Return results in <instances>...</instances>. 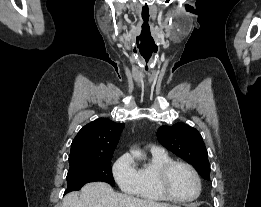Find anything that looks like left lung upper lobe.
<instances>
[{"mask_svg":"<svg viewBox=\"0 0 261 207\" xmlns=\"http://www.w3.org/2000/svg\"><path fill=\"white\" fill-rule=\"evenodd\" d=\"M157 138L168 150L192 164L204 179H210L208 153L202 136L195 128L185 123L161 126Z\"/></svg>","mask_w":261,"mask_h":207,"instance_id":"left-lung-upper-lobe-1","label":"left lung upper lobe"}]
</instances>
